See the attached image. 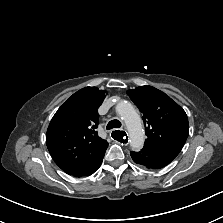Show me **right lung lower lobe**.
Instances as JSON below:
<instances>
[{"mask_svg":"<svg viewBox=\"0 0 223 223\" xmlns=\"http://www.w3.org/2000/svg\"><path fill=\"white\" fill-rule=\"evenodd\" d=\"M104 157V156H103ZM103 157L100 158L95 164H93L91 167H89L88 169L78 172L76 174H73V176L76 177H81V176H89L91 174H93L101 165Z\"/></svg>","mask_w":223,"mask_h":223,"instance_id":"98d812e1","label":"right lung lower lobe"}]
</instances>
